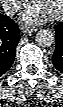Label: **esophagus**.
Segmentation results:
<instances>
[{"mask_svg": "<svg viewBox=\"0 0 63 107\" xmlns=\"http://www.w3.org/2000/svg\"><path fill=\"white\" fill-rule=\"evenodd\" d=\"M21 31L23 33H32L34 31H36V28L35 27L22 26Z\"/></svg>", "mask_w": 63, "mask_h": 107, "instance_id": "1", "label": "esophagus"}]
</instances>
